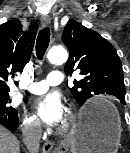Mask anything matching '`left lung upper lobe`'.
I'll return each instance as SVG.
<instances>
[{"mask_svg":"<svg viewBox=\"0 0 130 153\" xmlns=\"http://www.w3.org/2000/svg\"><path fill=\"white\" fill-rule=\"evenodd\" d=\"M69 49L64 70L67 75L79 70L81 80L70 88L78 103L95 100L98 95H112L125 100V86L120 58L113 45L99 33L70 19L62 34ZM91 100V101H92Z\"/></svg>","mask_w":130,"mask_h":153,"instance_id":"left-lung-upper-lobe-1","label":"left lung upper lobe"}]
</instances>
